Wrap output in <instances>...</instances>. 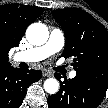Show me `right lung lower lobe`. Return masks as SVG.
I'll return each mask as SVG.
<instances>
[{"label": "right lung lower lobe", "instance_id": "98d812e1", "mask_svg": "<svg viewBox=\"0 0 108 108\" xmlns=\"http://www.w3.org/2000/svg\"><path fill=\"white\" fill-rule=\"evenodd\" d=\"M42 77L40 70L0 68V108H19L26 95L27 87Z\"/></svg>", "mask_w": 108, "mask_h": 108}]
</instances>
